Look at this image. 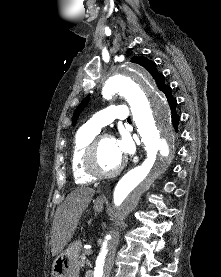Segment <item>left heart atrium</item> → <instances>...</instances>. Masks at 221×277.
I'll list each match as a JSON object with an SVG mask.
<instances>
[{"instance_id":"obj_1","label":"left heart atrium","mask_w":221,"mask_h":277,"mask_svg":"<svg viewBox=\"0 0 221 277\" xmlns=\"http://www.w3.org/2000/svg\"><path fill=\"white\" fill-rule=\"evenodd\" d=\"M114 144L121 159L126 158L132 153L133 147L127 137H121L120 139L114 140Z\"/></svg>"}]
</instances>
